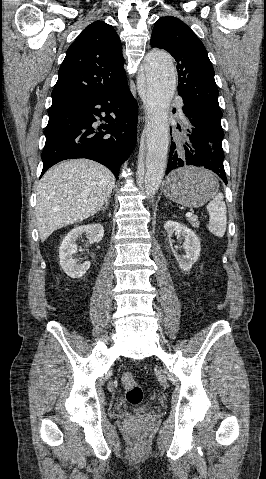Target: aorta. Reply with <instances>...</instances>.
I'll use <instances>...</instances> for the list:
<instances>
[{
    "mask_svg": "<svg viewBox=\"0 0 266 479\" xmlns=\"http://www.w3.org/2000/svg\"><path fill=\"white\" fill-rule=\"evenodd\" d=\"M138 90L145 100L148 115L143 180L145 193L152 198L160 187L167 165L168 113L176 90L175 66L168 53L152 50L146 55Z\"/></svg>",
    "mask_w": 266,
    "mask_h": 479,
    "instance_id": "1",
    "label": "aorta"
}]
</instances>
